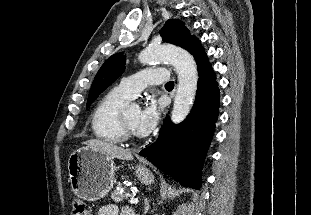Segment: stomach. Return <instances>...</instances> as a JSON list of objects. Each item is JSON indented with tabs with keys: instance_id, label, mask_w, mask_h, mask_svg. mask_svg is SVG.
I'll return each instance as SVG.
<instances>
[{
	"instance_id": "1",
	"label": "stomach",
	"mask_w": 311,
	"mask_h": 215,
	"mask_svg": "<svg viewBox=\"0 0 311 215\" xmlns=\"http://www.w3.org/2000/svg\"><path fill=\"white\" fill-rule=\"evenodd\" d=\"M115 170L113 159L87 146L72 152L68 159L72 190L87 201H97L107 195L114 184ZM135 174L145 185L154 182V175L144 166H137Z\"/></svg>"
}]
</instances>
